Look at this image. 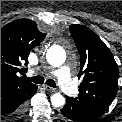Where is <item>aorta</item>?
I'll return each instance as SVG.
<instances>
[{
  "mask_svg": "<svg viewBox=\"0 0 122 122\" xmlns=\"http://www.w3.org/2000/svg\"><path fill=\"white\" fill-rule=\"evenodd\" d=\"M46 59L52 66L59 67L65 62L66 53L62 47L53 46L48 50ZM51 103L54 107H61L65 103V98L60 93H54L51 96Z\"/></svg>",
  "mask_w": 122,
  "mask_h": 122,
  "instance_id": "1",
  "label": "aorta"
}]
</instances>
